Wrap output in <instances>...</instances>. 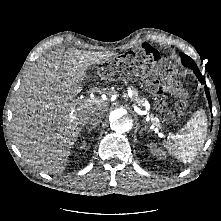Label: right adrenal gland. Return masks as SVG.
I'll use <instances>...</instances> for the list:
<instances>
[{
	"label": "right adrenal gland",
	"instance_id": "1",
	"mask_svg": "<svg viewBox=\"0 0 221 221\" xmlns=\"http://www.w3.org/2000/svg\"><path fill=\"white\" fill-rule=\"evenodd\" d=\"M96 127H97V126H90V127H87V129H88L87 131L90 132V131H92L93 129H96Z\"/></svg>",
	"mask_w": 221,
	"mask_h": 221
}]
</instances>
